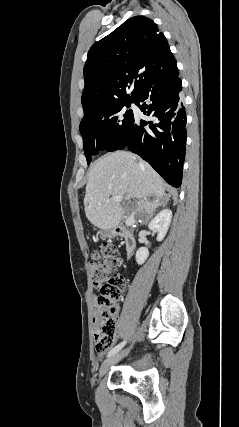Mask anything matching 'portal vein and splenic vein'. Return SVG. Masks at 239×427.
I'll use <instances>...</instances> for the list:
<instances>
[{
  "label": "portal vein and splenic vein",
  "instance_id": "obj_1",
  "mask_svg": "<svg viewBox=\"0 0 239 427\" xmlns=\"http://www.w3.org/2000/svg\"><path fill=\"white\" fill-rule=\"evenodd\" d=\"M113 200L114 201H121L122 200V197L121 196H115V197H113ZM133 223V221L132 220H127L126 221V224H132Z\"/></svg>",
  "mask_w": 239,
  "mask_h": 427
}]
</instances>
